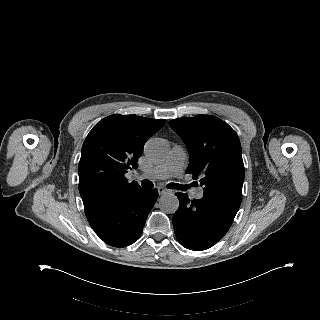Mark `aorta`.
Segmentation results:
<instances>
[{"label":"aorta","mask_w":320,"mask_h":320,"mask_svg":"<svg viewBox=\"0 0 320 320\" xmlns=\"http://www.w3.org/2000/svg\"><path fill=\"white\" fill-rule=\"evenodd\" d=\"M168 154L169 146L163 139L152 138L145 145V155L151 161H162ZM159 205L163 212L175 213L179 207V200L174 194L167 193L160 197Z\"/></svg>","instance_id":"aorta-1"}]
</instances>
